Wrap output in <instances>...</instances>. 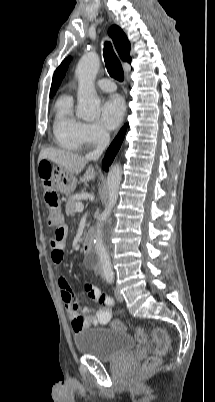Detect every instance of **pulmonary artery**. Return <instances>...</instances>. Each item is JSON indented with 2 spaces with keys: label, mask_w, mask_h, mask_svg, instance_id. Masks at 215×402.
<instances>
[{
  "label": "pulmonary artery",
  "mask_w": 215,
  "mask_h": 402,
  "mask_svg": "<svg viewBox=\"0 0 215 402\" xmlns=\"http://www.w3.org/2000/svg\"><path fill=\"white\" fill-rule=\"evenodd\" d=\"M97 86L106 92H112L116 89L114 82L107 78L99 79L97 81Z\"/></svg>",
  "instance_id": "obj_1"
}]
</instances>
